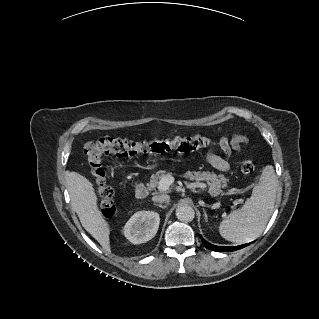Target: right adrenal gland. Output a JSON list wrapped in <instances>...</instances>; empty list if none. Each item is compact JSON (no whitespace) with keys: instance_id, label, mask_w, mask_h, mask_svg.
Segmentation results:
<instances>
[{"instance_id":"2a0ac1e0","label":"right adrenal gland","mask_w":319,"mask_h":319,"mask_svg":"<svg viewBox=\"0 0 319 319\" xmlns=\"http://www.w3.org/2000/svg\"><path fill=\"white\" fill-rule=\"evenodd\" d=\"M154 205H155V206H158V207H160V208H166L167 205H168V203L165 204V205L154 203Z\"/></svg>"}]
</instances>
